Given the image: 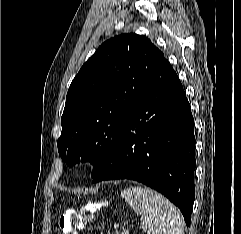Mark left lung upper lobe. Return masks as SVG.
<instances>
[{
	"label": "left lung upper lobe",
	"mask_w": 241,
	"mask_h": 234,
	"mask_svg": "<svg viewBox=\"0 0 241 234\" xmlns=\"http://www.w3.org/2000/svg\"><path fill=\"white\" fill-rule=\"evenodd\" d=\"M164 60L147 38L121 34L104 42L73 79L61 117L59 155L70 167L104 166L139 92Z\"/></svg>",
	"instance_id": "left-lung-upper-lobe-1"
}]
</instances>
